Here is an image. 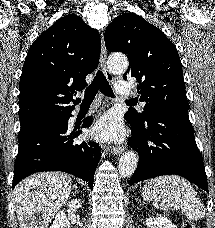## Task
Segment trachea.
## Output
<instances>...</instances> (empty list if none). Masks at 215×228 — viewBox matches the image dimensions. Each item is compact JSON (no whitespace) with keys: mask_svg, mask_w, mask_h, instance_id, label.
<instances>
[{"mask_svg":"<svg viewBox=\"0 0 215 228\" xmlns=\"http://www.w3.org/2000/svg\"><path fill=\"white\" fill-rule=\"evenodd\" d=\"M100 90L103 95L106 97H114V93L106 77L102 73V71L98 70L93 82L91 85L85 90L84 100L82 103H92L96 93ZM128 105H135V101L133 100H126Z\"/></svg>","mask_w":215,"mask_h":228,"instance_id":"3493384b","label":"trachea"}]
</instances>
